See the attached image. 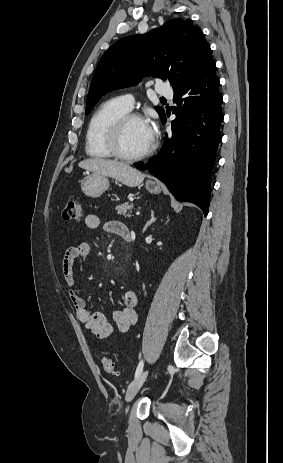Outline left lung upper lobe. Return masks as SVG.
I'll return each instance as SVG.
<instances>
[{"mask_svg": "<svg viewBox=\"0 0 283 463\" xmlns=\"http://www.w3.org/2000/svg\"><path fill=\"white\" fill-rule=\"evenodd\" d=\"M212 61L204 35L189 19L175 18L144 35L122 38L104 53L97 66L87 96L86 114L102 95L136 85L144 76L169 79L175 89ZM155 109L163 120V108Z\"/></svg>", "mask_w": 283, "mask_h": 463, "instance_id": "obj_1", "label": "left lung upper lobe"}]
</instances>
